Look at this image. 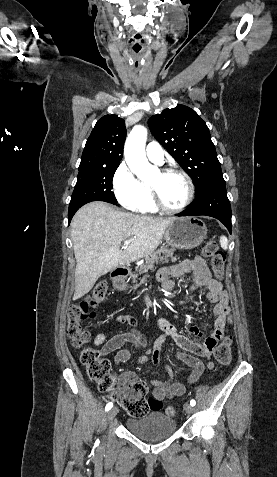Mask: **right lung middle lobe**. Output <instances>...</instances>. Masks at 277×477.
Here are the masks:
<instances>
[{
    "label": "right lung middle lobe",
    "instance_id": "obj_1",
    "mask_svg": "<svg viewBox=\"0 0 277 477\" xmlns=\"http://www.w3.org/2000/svg\"><path fill=\"white\" fill-rule=\"evenodd\" d=\"M117 168L118 166H111L79 170L77 183L69 204V222L75 212L88 202L105 201L117 204L112 192V179Z\"/></svg>",
    "mask_w": 277,
    "mask_h": 477
}]
</instances>
